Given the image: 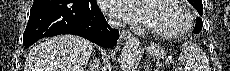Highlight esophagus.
Instances as JSON below:
<instances>
[{
    "instance_id": "esophagus-1",
    "label": "esophagus",
    "mask_w": 230,
    "mask_h": 71,
    "mask_svg": "<svg viewBox=\"0 0 230 71\" xmlns=\"http://www.w3.org/2000/svg\"><path fill=\"white\" fill-rule=\"evenodd\" d=\"M122 40H128L132 37V34L129 30H123L120 34Z\"/></svg>"
}]
</instances>
